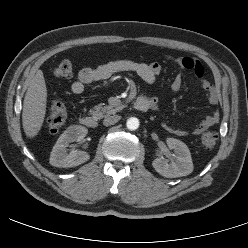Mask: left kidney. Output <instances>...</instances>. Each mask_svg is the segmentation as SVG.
Listing matches in <instances>:
<instances>
[{
  "label": "left kidney",
  "mask_w": 248,
  "mask_h": 248,
  "mask_svg": "<svg viewBox=\"0 0 248 248\" xmlns=\"http://www.w3.org/2000/svg\"><path fill=\"white\" fill-rule=\"evenodd\" d=\"M166 143L169 149L174 150V160L169 163L166 159L156 158L152 163L154 169L167 178L187 176L192 173L193 163L187 145L174 138H167Z\"/></svg>",
  "instance_id": "obj_1"
}]
</instances>
